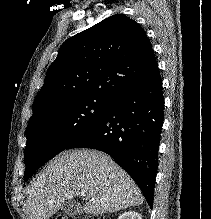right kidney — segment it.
I'll return each mask as SVG.
<instances>
[{"label": "right kidney", "instance_id": "1", "mask_svg": "<svg viewBox=\"0 0 211 219\" xmlns=\"http://www.w3.org/2000/svg\"><path fill=\"white\" fill-rule=\"evenodd\" d=\"M118 219H142V216L135 211H128L121 214Z\"/></svg>", "mask_w": 211, "mask_h": 219}]
</instances>
